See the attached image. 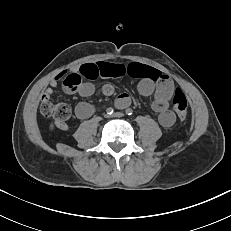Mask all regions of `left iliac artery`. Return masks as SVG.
Masks as SVG:
<instances>
[{"label":"left iliac artery","instance_id":"1","mask_svg":"<svg viewBox=\"0 0 231 231\" xmlns=\"http://www.w3.org/2000/svg\"><path fill=\"white\" fill-rule=\"evenodd\" d=\"M126 114L129 115V116H131V115L133 114V110L130 109V108H128V109L126 110Z\"/></svg>","mask_w":231,"mask_h":231}]
</instances>
